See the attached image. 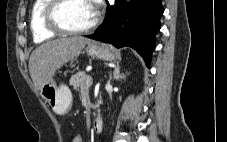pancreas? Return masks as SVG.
Wrapping results in <instances>:
<instances>
[{"mask_svg":"<svg viewBox=\"0 0 227 142\" xmlns=\"http://www.w3.org/2000/svg\"><path fill=\"white\" fill-rule=\"evenodd\" d=\"M87 77L88 75L85 72L79 71L71 77L69 84L76 90H82L87 87Z\"/></svg>","mask_w":227,"mask_h":142,"instance_id":"cf45deb5","label":"pancreas"}]
</instances>
